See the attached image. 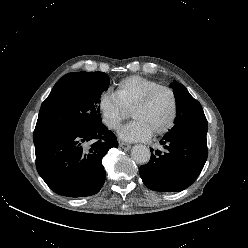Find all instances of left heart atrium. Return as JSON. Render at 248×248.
Returning a JSON list of instances; mask_svg holds the SVG:
<instances>
[{"label": "left heart atrium", "instance_id": "39dd6f15", "mask_svg": "<svg viewBox=\"0 0 248 248\" xmlns=\"http://www.w3.org/2000/svg\"><path fill=\"white\" fill-rule=\"evenodd\" d=\"M151 134L152 132L148 127L136 119L126 124L119 132V136L123 140L130 142L144 141L148 139Z\"/></svg>", "mask_w": 248, "mask_h": 248}]
</instances>
